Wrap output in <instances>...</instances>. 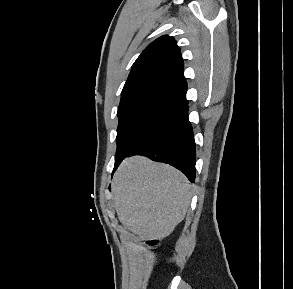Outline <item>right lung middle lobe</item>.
I'll return each mask as SVG.
<instances>
[{
  "instance_id": "1",
  "label": "right lung middle lobe",
  "mask_w": 293,
  "mask_h": 289,
  "mask_svg": "<svg viewBox=\"0 0 293 289\" xmlns=\"http://www.w3.org/2000/svg\"><path fill=\"white\" fill-rule=\"evenodd\" d=\"M177 108L172 103L156 98H135L120 102L116 153L126 149L152 125Z\"/></svg>"
}]
</instances>
